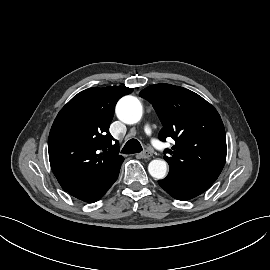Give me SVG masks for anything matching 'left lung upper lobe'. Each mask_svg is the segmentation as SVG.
I'll return each instance as SVG.
<instances>
[{
	"label": "left lung upper lobe",
	"mask_w": 270,
	"mask_h": 270,
	"mask_svg": "<svg viewBox=\"0 0 270 270\" xmlns=\"http://www.w3.org/2000/svg\"><path fill=\"white\" fill-rule=\"evenodd\" d=\"M156 110L163 128L159 139L176 143L165 152L169 173H195L216 180L226 160L223 122L217 110L198 94L183 87L155 84L139 94Z\"/></svg>",
	"instance_id": "left-lung-upper-lobe-1"
}]
</instances>
